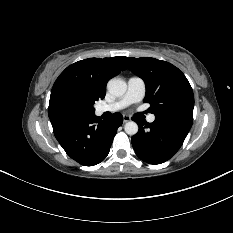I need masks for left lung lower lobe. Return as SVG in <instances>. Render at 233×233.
I'll use <instances>...</instances> for the list:
<instances>
[{
  "mask_svg": "<svg viewBox=\"0 0 233 233\" xmlns=\"http://www.w3.org/2000/svg\"><path fill=\"white\" fill-rule=\"evenodd\" d=\"M139 131L132 137L136 155L149 164H161L182 146L191 127L174 120L156 117L153 123L134 118Z\"/></svg>",
  "mask_w": 233,
  "mask_h": 233,
  "instance_id": "0a47b994",
  "label": "left lung lower lobe"
}]
</instances>
